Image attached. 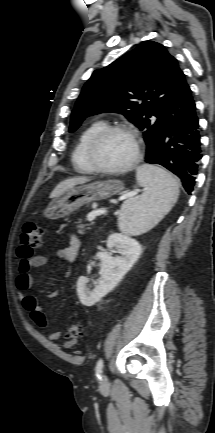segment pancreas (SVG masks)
<instances>
[{
	"instance_id": "obj_1",
	"label": "pancreas",
	"mask_w": 215,
	"mask_h": 433,
	"mask_svg": "<svg viewBox=\"0 0 215 433\" xmlns=\"http://www.w3.org/2000/svg\"><path fill=\"white\" fill-rule=\"evenodd\" d=\"M92 223L90 224H83L82 220L80 219L77 225L78 231L80 233H84L85 231L89 230L91 228Z\"/></svg>"
}]
</instances>
